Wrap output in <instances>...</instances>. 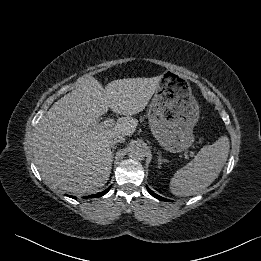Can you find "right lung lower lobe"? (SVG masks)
Wrapping results in <instances>:
<instances>
[{
    "label": "right lung lower lobe",
    "mask_w": 261,
    "mask_h": 261,
    "mask_svg": "<svg viewBox=\"0 0 261 261\" xmlns=\"http://www.w3.org/2000/svg\"><path fill=\"white\" fill-rule=\"evenodd\" d=\"M110 188H111V187L107 188V189L104 190L103 192H100V193H98V194H94V195H89V196L84 197V198L101 197V196H103L104 194H106V193L109 191ZM71 197H72V198H75V197H73V196H71Z\"/></svg>",
    "instance_id": "obj_1"
}]
</instances>
